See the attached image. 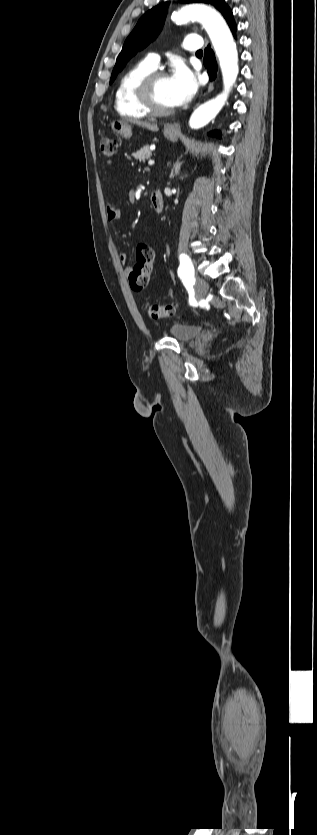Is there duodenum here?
Returning a JSON list of instances; mask_svg holds the SVG:
<instances>
[{
    "label": "duodenum",
    "instance_id": "1",
    "mask_svg": "<svg viewBox=\"0 0 317 835\" xmlns=\"http://www.w3.org/2000/svg\"><path fill=\"white\" fill-rule=\"evenodd\" d=\"M151 206L155 212L160 213L164 207L163 195L160 190H155L150 196Z\"/></svg>",
    "mask_w": 317,
    "mask_h": 835
}]
</instances>
